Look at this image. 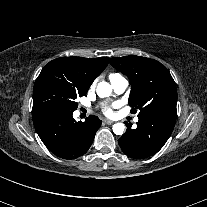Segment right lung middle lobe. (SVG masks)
<instances>
[{"instance_id": "obj_1", "label": "right lung middle lobe", "mask_w": 207, "mask_h": 207, "mask_svg": "<svg viewBox=\"0 0 207 207\" xmlns=\"http://www.w3.org/2000/svg\"><path fill=\"white\" fill-rule=\"evenodd\" d=\"M86 92L78 89L58 71L42 69L34 84L32 115L45 112L72 114L78 106L76 98Z\"/></svg>"}]
</instances>
